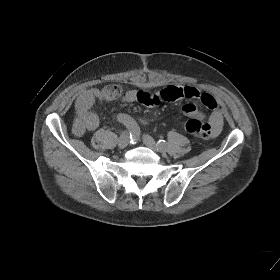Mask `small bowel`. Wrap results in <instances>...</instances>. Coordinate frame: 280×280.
<instances>
[{
  "instance_id": "small-bowel-1",
  "label": "small bowel",
  "mask_w": 280,
  "mask_h": 280,
  "mask_svg": "<svg viewBox=\"0 0 280 280\" xmlns=\"http://www.w3.org/2000/svg\"><path fill=\"white\" fill-rule=\"evenodd\" d=\"M111 99L104 90L96 88L84 90L76 100V118L73 124V133L80 137L87 131H93L98 127V116L90 110L95 100ZM185 100L182 112L191 118L203 120L205 114L198 108V103L212 110L208 123L213 127L216 136L224 122V115L219 102L210 94L203 93L190 86H167L156 93L141 90H129L125 93L123 101L126 103L138 102L146 106H156L164 101Z\"/></svg>"
}]
</instances>
